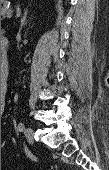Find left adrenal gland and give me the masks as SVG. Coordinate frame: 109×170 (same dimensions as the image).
I'll list each match as a JSON object with an SVG mask.
<instances>
[{"mask_svg":"<svg viewBox=\"0 0 109 170\" xmlns=\"http://www.w3.org/2000/svg\"><path fill=\"white\" fill-rule=\"evenodd\" d=\"M26 18H27V9L25 10L24 15H23V17L21 19V26H24V25L27 24V19Z\"/></svg>","mask_w":109,"mask_h":170,"instance_id":"obj_1","label":"left adrenal gland"}]
</instances>
